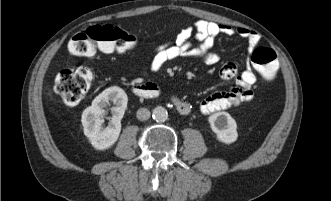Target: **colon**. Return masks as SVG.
<instances>
[{"label": "colon", "mask_w": 331, "mask_h": 201, "mask_svg": "<svg viewBox=\"0 0 331 201\" xmlns=\"http://www.w3.org/2000/svg\"><path fill=\"white\" fill-rule=\"evenodd\" d=\"M137 44L136 37L113 25H95L79 31L68 43V50L76 56H90L98 51L125 52ZM252 62L262 76L272 79L278 68L275 52L270 48L260 47L253 51ZM93 74L87 67H68L56 77L55 91L66 106L79 103L88 93Z\"/></svg>", "instance_id": "5ec220e1"}]
</instances>
